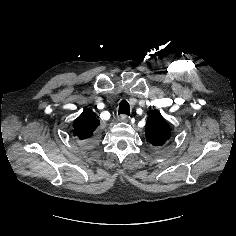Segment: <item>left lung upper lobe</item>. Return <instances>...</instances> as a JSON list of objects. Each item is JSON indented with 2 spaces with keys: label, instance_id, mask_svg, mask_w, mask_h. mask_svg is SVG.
Instances as JSON below:
<instances>
[{
  "label": "left lung upper lobe",
  "instance_id": "1",
  "mask_svg": "<svg viewBox=\"0 0 236 236\" xmlns=\"http://www.w3.org/2000/svg\"><path fill=\"white\" fill-rule=\"evenodd\" d=\"M145 135L147 141L154 146L163 145L171 137L169 124L158 110H153L147 119Z\"/></svg>",
  "mask_w": 236,
  "mask_h": 236
}]
</instances>
